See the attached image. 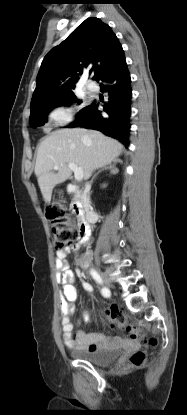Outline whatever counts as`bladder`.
I'll return each mask as SVG.
<instances>
[{
	"instance_id": "bladder-1",
	"label": "bladder",
	"mask_w": 187,
	"mask_h": 415,
	"mask_svg": "<svg viewBox=\"0 0 187 415\" xmlns=\"http://www.w3.org/2000/svg\"><path fill=\"white\" fill-rule=\"evenodd\" d=\"M122 351L123 349L121 347L96 351L74 349L71 351V354L77 359L90 362L94 365L107 366L112 364L120 356Z\"/></svg>"
}]
</instances>
